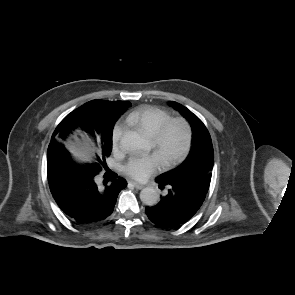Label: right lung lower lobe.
Segmentation results:
<instances>
[{
	"mask_svg": "<svg viewBox=\"0 0 295 295\" xmlns=\"http://www.w3.org/2000/svg\"><path fill=\"white\" fill-rule=\"evenodd\" d=\"M47 171L56 203L73 223L81 226L98 224L110 216L119 192L127 186L126 180L107 166L96 168L74 163L58 144H49Z\"/></svg>",
	"mask_w": 295,
	"mask_h": 295,
	"instance_id": "1",
	"label": "right lung lower lobe"
}]
</instances>
